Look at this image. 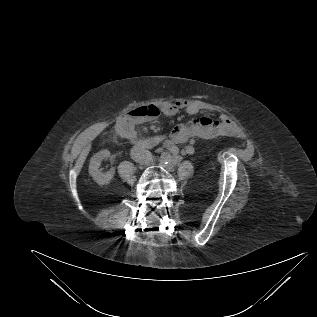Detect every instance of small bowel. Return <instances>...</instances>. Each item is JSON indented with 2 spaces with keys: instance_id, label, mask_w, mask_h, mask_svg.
<instances>
[{
  "instance_id": "obj_1",
  "label": "small bowel",
  "mask_w": 317,
  "mask_h": 317,
  "mask_svg": "<svg viewBox=\"0 0 317 317\" xmlns=\"http://www.w3.org/2000/svg\"><path fill=\"white\" fill-rule=\"evenodd\" d=\"M160 109L164 116L172 117L180 111H186L190 115H198L202 106L189 100L164 101L160 103ZM116 130L119 133L137 138L135 123L133 120H126L117 125ZM238 133V128L227 118L212 119L208 116H196L190 124H179L173 128L170 138L165 142V148L173 154L178 153L177 145L187 143L188 141L199 139H212L217 136H234ZM184 155H192L194 147L192 144H185L182 150Z\"/></svg>"
}]
</instances>
